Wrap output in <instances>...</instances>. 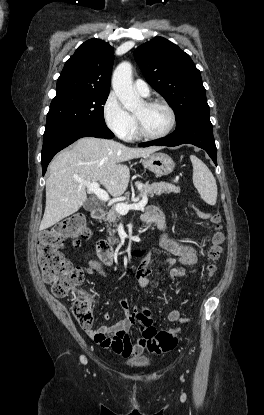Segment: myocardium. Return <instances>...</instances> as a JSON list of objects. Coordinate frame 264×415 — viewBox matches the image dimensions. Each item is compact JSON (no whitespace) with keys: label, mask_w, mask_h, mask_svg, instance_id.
Returning <instances> with one entry per match:
<instances>
[{"label":"myocardium","mask_w":264,"mask_h":415,"mask_svg":"<svg viewBox=\"0 0 264 415\" xmlns=\"http://www.w3.org/2000/svg\"><path fill=\"white\" fill-rule=\"evenodd\" d=\"M144 103H145L146 106H157V105H159V106L164 107L170 115V122H169V125H168V127L166 128L165 131H163L162 133H159V134L151 135V134H148L144 131L140 119L137 116L134 115L136 135L139 138L146 139V140H159V139H162V138L168 136L172 132V130L174 129V127L176 125V121H177V116H176V113H175L174 109L172 108V106L168 102H166L162 99H151V100L145 101Z\"/></svg>","instance_id":"obj_1"}]
</instances>
